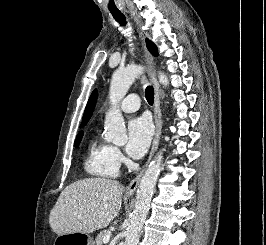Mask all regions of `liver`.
Instances as JSON below:
<instances>
[{"instance_id": "6515ba94", "label": "liver", "mask_w": 266, "mask_h": 245, "mask_svg": "<svg viewBox=\"0 0 266 245\" xmlns=\"http://www.w3.org/2000/svg\"><path fill=\"white\" fill-rule=\"evenodd\" d=\"M123 189L112 179H83L68 185L54 205L49 225L56 235L94 233L108 227L122 205Z\"/></svg>"}]
</instances>
